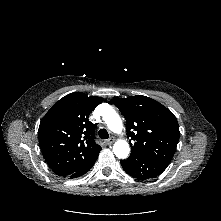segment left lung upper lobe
<instances>
[{"instance_id": "1", "label": "left lung upper lobe", "mask_w": 221, "mask_h": 221, "mask_svg": "<svg viewBox=\"0 0 221 221\" xmlns=\"http://www.w3.org/2000/svg\"><path fill=\"white\" fill-rule=\"evenodd\" d=\"M112 101L126 119L131 146L129 157L170 163L180 136L174 114L146 96L114 98Z\"/></svg>"}]
</instances>
